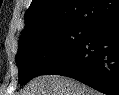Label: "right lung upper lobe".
<instances>
[{
	"label": "right lung upper lobe",
	"instance_id": "1",
	"mask_svg": "<svg viewBox=\"0 0 119 95\" xmlns=\"http://www.w3.org/2000/svg\"><path fill=\"white\" fill-rule=\"evenodd\" d=\"M117 18L119 0H32L20 38L52 26L81 25L93 29Z\"/></svg>",
	"mask_w": 119,
	"mask_h": 95
}]
</instances>
